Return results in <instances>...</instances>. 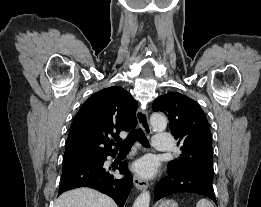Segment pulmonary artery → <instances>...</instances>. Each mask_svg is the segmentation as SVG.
Listing matches in <instances>:
<instances>
[{
  "instance_id": "1",
  "label": "pulmonary artery",
  "mask_w": 261,
  "mask_h": 207,
  "mask_svg": "<svg viewBox=\"0 0 261 207\" xmlns=\"http://www.w3.org/2000/svg\"><path fill=\"white\" fill-rule=\"evenodd\" d=\"M153 146L158 151H169L171 149V135L160 132L154 136Z\"/></svg>"
}]
</instances>
